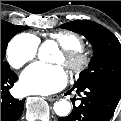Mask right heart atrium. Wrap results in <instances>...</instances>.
Instances as JSON below:
<instances>
[{"instance_id":"d8ad5b80","label":"right heart atrium","mask_w":121,"mask_h":121,"mask_svg":"<svg viewBox=\"0 0 121 121\" xmlns=\"http://www.w3.org/2000/svg\"><path fill=\"white\" fill-rule=\"evenodd\" d=\"M38 46V39L32 35L18 34L14 36L7 47L8 62L14 68H21L36 57Z\"/></svg>"}]
</instances>
